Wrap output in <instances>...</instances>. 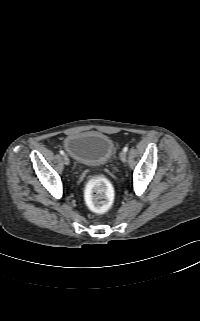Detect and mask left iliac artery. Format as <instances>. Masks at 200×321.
Masks as SVG:
<instances>
[{
    "label": "left iliac artery",
    "mask_w": 200,
    "mask_h": 321,
    "mask_svg": "<svg viewBox=\"0 0 200 321\" xmlns=\"http://www.w3.org/2000/svg\"><path fill=\"white\" fill-rule=\"evenodd\" d=\"M123 151L126 153L128 151V147H124Z\"/></svg>",
    "instance_id": "1"
}]
</instances>
